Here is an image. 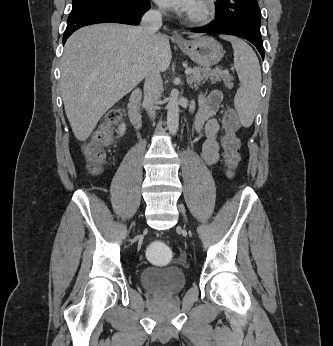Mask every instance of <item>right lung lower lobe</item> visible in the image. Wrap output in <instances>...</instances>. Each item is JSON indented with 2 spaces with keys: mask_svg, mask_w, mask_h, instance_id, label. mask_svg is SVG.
Here are the masks:
<instances>
[{
  "mask_svg": "<svg viewBox=\"0 0 333 346\" xmlns=\"http://www.w3.org/2000/svg\"><path fill=\"white\" fill-rule=\"evenodd\" d=\"M150 8L149 0H136L127 7L95 5L70 13L63 36V44L77 29L97 23H122L137 25L141 16Z\"/></svg>",
  "mask_w": 333,
  "mask_h": 346,
  "instance_id": "98d812e1",
  "label": "right lung lower lobe"
}]
</instances>
